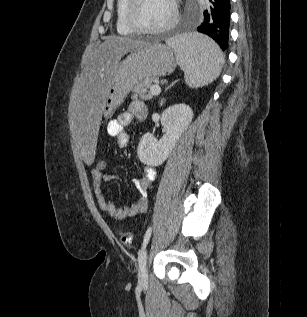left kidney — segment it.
<instances>
[{
  "instance_id": "5707ae66",
  "label": "left kidney",
  "mask_w": 307,
  "mask_h": 317,
  "mask_svg": "<svg viewBox=\"0 0 307 317\" xmlns=\"http://www.w3.org/2000/svg\"><path fill=\"white\" fill-rule=\"evenodd\" d=\"M193 111L186 104H175L162 112L161 124L165 134L157 140L151 133L140 139L137 154L140 161L148 166H159L169 156L177 140L193 119Z\"/></svg>"
}]
</instances>
